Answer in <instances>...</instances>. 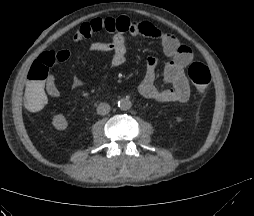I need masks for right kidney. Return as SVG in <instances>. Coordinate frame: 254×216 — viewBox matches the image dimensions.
<instances>
[{
    "label": "right kidney",
    "instance_id": "ca27d5eb",
    "mask_svg": "<svg viewBox=\"0 0 254 216\" xmlns=\"http://www.w3.org/2000/svg\"><path fill=\"white\" fill-rule=\"evenodd\" d=\"M52 124L57 130H65L68 126V122L62 114L55 115Z\"/></svg>",
    "mask_w": 254,
    "mask_h": 216
}]
</instances>
